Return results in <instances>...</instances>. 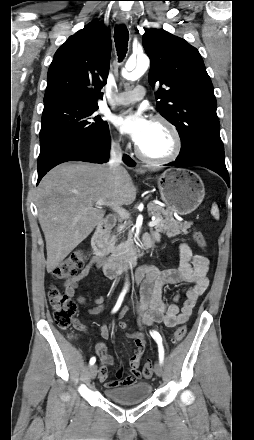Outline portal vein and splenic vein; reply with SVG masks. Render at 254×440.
<instances>
[{"label":"portal vein and splenic vein","mask_w":254,"mask_h":440,"mask_svg":"<svg viewBox=\"0 0 254 440\" xmlns=\"http://www.w3.org/2000/svg\"><path fill=\"white\" fill-rule=\"evenodd\" d=\"M95 205H96V206H104V205H105V206H109V207H111L116 213H118V214L120 215V217H122L123 219H127V218H129V213H128L124 208L120 207L119 205L111 204V203H108V202L103 201V200H98V201H96V202H95ZM160 221H161V218L153 219L152 221H150V222L148 223V226H149V227H154V226H156Z\"/></svg>","instance_id":"1"}]
</instances>
